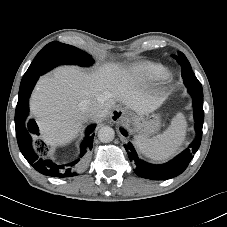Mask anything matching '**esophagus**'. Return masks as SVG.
<instances>
[{"instance_id": "1", "label": "esophagus", "mask_w": 227, "mask_h": 227, "mask_svg": "<svg viewBox=\"0 0 227 227\" xmlns=\"http://www.w3.org/2000/svg\"><path fill=\"white\" fill-rule=\"evenodd\" d=\"M124 116H125L124 110L116 108L112 110L110 118L113 122H119L124 118Z\"/></svg>"}]
</instances>
